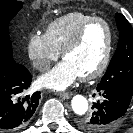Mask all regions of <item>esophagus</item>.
I'll return each instance as SVG.
<instances>
[{
  "mask_svg": "<svg viewBox=\"0 0 133 133\" xmlns=\"http://www.w3.org/2000/svg\"><path fill=\"white\" fill-rule=\"evenodd\" d=\"M59 96L62 99L66 100V99H69L71 97V93H69V92H62V93H59Z\"/></svg>",
  "mask_w": 133,
  "mask_h": 133,
  "instance_id": "obj_1",
  "label": "esophagus"
}]
</instances>
